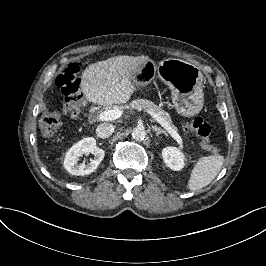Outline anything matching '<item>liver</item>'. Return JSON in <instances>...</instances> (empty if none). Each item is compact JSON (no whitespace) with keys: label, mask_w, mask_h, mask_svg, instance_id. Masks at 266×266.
I'll return each mask as SVG.
<instances>
[{"label":"liver","mask_w":266,"mask_h":266,"mask_svg":"<svg viewBox=\"0 0 266 266\" xmlns=\"http://www.w3.org/2000/svg\"><path fill=\"white\" fill-rule=\"evenodd\" d=\"M148 56H116L90 64L82 73L81 90L87 101L102 106L129 101L135 87L133 74L140 70Z\"/></svg>","instance_id":"obj_1"}]
</instances>
